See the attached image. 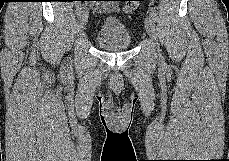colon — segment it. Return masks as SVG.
Here are the masks:
<instances>
[{
    "mask_svg": "<svg viewBox=\"0 0 229 161\" xmlns=\"http://www.w3.org/2000/svg\"><path fill=\"white\" fill-rule=\"evenodd\" d=\"M118 1V0H116ZM139 2L140 0H128L126 1V3L124 4V7H123V11L130 15L132 14L139 6Z\"/></svg>",
    "mask_w": 229,
    "mask_h": 161,
    "instance_id": "colon-1",
    "label": "colon"
}]
</instances>
